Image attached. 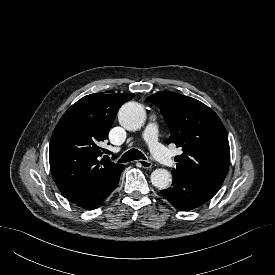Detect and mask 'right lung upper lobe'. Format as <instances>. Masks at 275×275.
Listing matches in <instances>:
<instances>
[{
	"mask_svg": "<svg viewBox=\"0 0 275 275\" xmlns=\"http://www.w3.org/2000/svg\"><path fill=\"white\" fill-rule=\"evenodd\" d=\"M134 94H91L73 104L61 117L51 137L49 162L62 194L107 180L123 165L100 162L99 147L108 137L119 108Z\"/></svg>",
	"mask_w": 275,
	"mask_h": 275,
	"instance_id": "right-lung-upper-lobe-1",
	"label": "right lung upper lobe"
}]
</instances>
